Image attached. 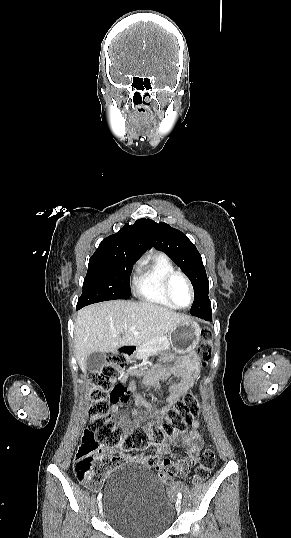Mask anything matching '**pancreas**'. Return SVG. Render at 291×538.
Returning <instances> with one entry per match:
<instances>
[{"label":"pancreas","instance_id":"cf45deb5","mask_svg":"<svg viewBox=\"0 0 291 538\" xmlns=\"http://www.w3.org/2000/svg\"><path fill=\"white\" fill-rule=\"evenodd\" d=\"M170 344L167 340L160 338L152 339L138 346L135 358L138 360L143 359L146 356L156 355L169 349Z\"/></svg>","mask_w":291,"mask_h":538}]
</instances>
